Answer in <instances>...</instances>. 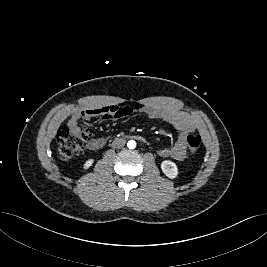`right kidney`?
I'll use <instances>...</instances> for the list:
<instances>
[{"label":"right kidney","instance_id":"right-kidney-1","mask_svg":"<svg viewBox=\"0 0 267 267\" xmlns=\"http://www.w3.org/2000/svg\"><path fill=\"white\" fill-rule=\"evenodd\" d=\"M93 162H94V159H88V160L84 163L83 168H84V169H88V168L93 164Z\"/></svg>","mask_w":267,"mask_h":267}]
</instances>
